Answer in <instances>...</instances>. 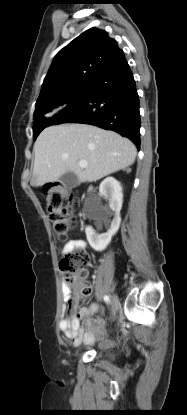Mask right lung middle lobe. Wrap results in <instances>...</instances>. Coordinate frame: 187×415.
Masks as SVG:
<instances>
[{
  "mask_svg": "<svg viewBox=\"0 0 187 415\" xmlns=\"http://www.w3.org/2000/svg\"><path fill=\"white\" fill-rule=\"evenodd\" d=\"M89 90V82H86L80 86L73 87L67 90L63 96L57 102L43 106L40 108H35L34 112V124H33V133L34 139L40 134V132L50 125H52L54 116L50 117L51 113H57L64 109L71 101L81 96L83 93Z\"/></svg>",
  "mask_w": 187,
  "mask_h": 415,
  "instance_id": "1",
  "label": "right lung middle lobe"
}]
</instances>
